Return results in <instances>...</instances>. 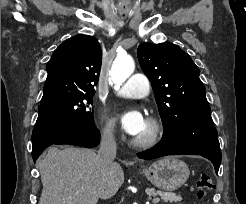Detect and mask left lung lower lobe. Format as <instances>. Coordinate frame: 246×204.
<instances>
[{
	"label": "left lung lower lobe",
	"instance_id": "1",
	"mask_svg": "<svg viewBox=\"0 0 246 204\" xmlns=\"http://www.w3.org/2000/svg\"><path fill=\"white\" fill-rule=\"evenodd\" d=\"M201 155L209 159L218 173L221 151L211 116L182 120L169 130L154 148L141 152V159H154L165 155Z\"/></svg>",
	"mask_w": 246,
	"mask_h": 204
}]
</instances>
